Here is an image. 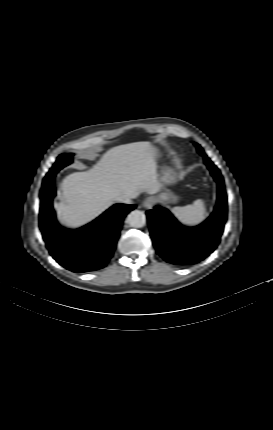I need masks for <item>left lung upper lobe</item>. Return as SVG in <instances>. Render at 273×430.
Here are the masks:
<instances>
[{
	"instance_id": "left-lung-upper-lobe-1",
	"label": "left lung upper lobe",
	"mask_w": 273,
	"mask_h": 430,
	"mask_svg": "<svg viewBox=\"0 0 273 430\" xmlns=\"http://www.w3.org/2000/svg\"><path fill=\"white\" fill-rule=\"evenodd\" d=\"M194 145L196 146L197 151L201 156H203L204 158H208V156L205 154L204 150L202 149V147L199 144L194 143Z\"/></svg>"
}]
</instances>
